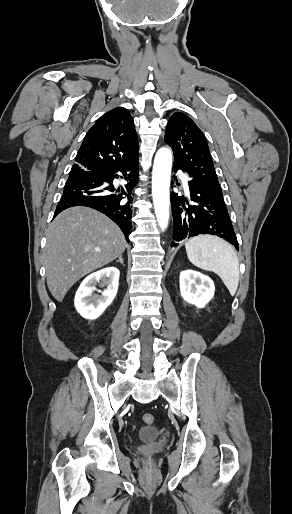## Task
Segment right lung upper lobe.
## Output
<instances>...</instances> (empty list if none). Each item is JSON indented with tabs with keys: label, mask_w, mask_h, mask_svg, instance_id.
<instances>
[{
	"label": "right lung upper lobe",
	"mask_w": 292,
	"mask_h": 514,
	"mask_svg": "<svg viewBox=\"0 0 292 514\" xmlns=\"http://www.w3.org/2000/svg\"><path fill=\"white\" fill-rule=\"evenodd\" d=\"M137 158L138 139L133 119L126 108L117 107L90 128L71 172L108 171Z\"/></svg>",
	"instance_id": "1"
}]
</instances>
